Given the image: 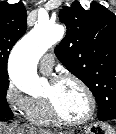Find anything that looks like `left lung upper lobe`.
<instances>
[{
	"label": "left lung upper lobe",
	"instance_id": "5c2ea615",
	"mask_svg": "<svg viewBox=\"0 0 116 134\" xmlns=\"http://www.w3.org/2000/svg\"><path fill=\"white\" fill-rule=\"evenodd\" d=\"M59 17L67 33L56 56L91 90L99 119L116 115V16L99 3L86 10L75 1Z\"/></svg>",
	"mask_w": 116,
	"mask_h": 134
}]
</instances>
